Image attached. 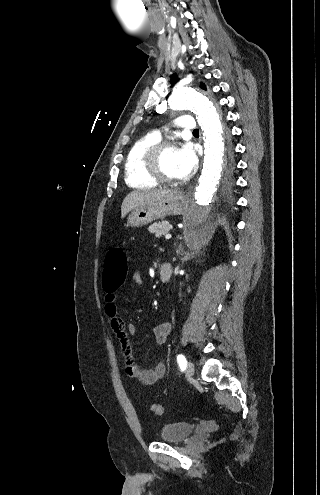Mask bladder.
I'll use <instances>...</instances> for the list:
<instances>
[{"instance_id":"bladder-1","label":"bladder","mask_w":320,"mask_h":495,"mask_svg":"<svg viewBox=\"0 0 320 495\" xmlns=\"http://www.w3.org/2000/svg\"><path fill=\"white\" fill-rule=\"evenodd\" d=\"M194 431L190 422H173L161 427L158 437L161 441L178 443L188 438Z\"/></svg>"}]
</instances>
